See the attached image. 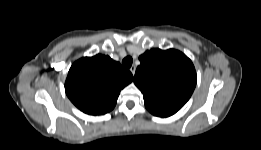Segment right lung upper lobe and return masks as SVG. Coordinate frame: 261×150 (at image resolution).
Here are the masks:
<instances>
[{"label": "right lung upper lobe", "mask_w": 261, "mask_h": 150, "mask_svg": "<svg viewBox=\"0 0 261 150\" xmlns=\"http://www.w3.org/2000/svg\"><path fill=\"white\" fill-rule=\"evenodd\" d=\"M132 80L131 72L119 62L98 54L79 59L71 66L65 91L81 111L90 115H101L114 108L120 90Z\"/></svg>", "instance_id": "cb5924a9"}]
</instances>
